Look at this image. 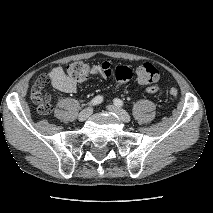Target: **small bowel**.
I'll use <instances>...</instances> for the list:
<instances>
[{
    "label": "small bowel",
    "mask_w": 213,
    "mask_h": 213,
    "mask_svg": "<svg viewBox=\"0 0 213 213\" xmlns=\"http://www.w3.org/2000/svg\"><path fill=\"white\" fill-rule=\"evenodd\" d=\"M97 74L108 77L107 72L112 70V66L109 62H103L95 67ZM48 80L51 82L52 87L61 93H73L76 91V81L69 77L67 73L61 67H54L48 74ZM150 93H156L158 91L157 86H150L147 88Z\"/></svg>",
    "instance_id": "c3829d8e"
}]
</instances>
